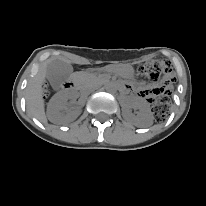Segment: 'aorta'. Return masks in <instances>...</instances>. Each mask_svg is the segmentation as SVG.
Returning a JSON list of instances; mask_svg holds the SVG:
<instances>
[{"label": "aorta", "mask_w": 206, "mask_h": 206, "mask_svg": "<svg viewBox=\"0 0 206 206\" xmlns=\"http://www.w3.org/2000/svg\"><path fill=\"white\" fill-rule=\"evenodd\" d=\"M105 89L107 92L109 93H114L116 91V87L114 84L112 83H108L106 86H105Z\"/></svg>", "instance_id": "762f6f07"}]
</instances>
